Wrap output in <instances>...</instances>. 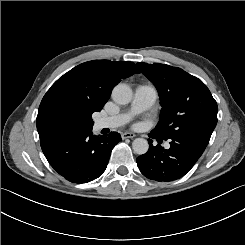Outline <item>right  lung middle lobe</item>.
Masks as SVG:
<instances>
[{"label":"right lung middle lobe","mask_w":245,"mask_h":245,"mask_svg":"<svg viewBox=\"0 0 245 245\" xmlns=\"http://www.w3.org/2000/svg\"><path fill=\"white\" fill-rule=\"evenodd\" d=\"M94 112L90 108L70 106L59 110L57 119L63 132L91 129L94 124L91 116Z\"/></svg>","instance_id":"right-lung-middle-lobe-1"}]
</instances>
